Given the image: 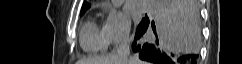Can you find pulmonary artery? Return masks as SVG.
Here are the masks:
<instances>
[{"instance_id":"e3ab8cb5","label":"pulmonary artery","mask_w":242,"mask_h":64,"mask_svg":"<svg viewBox=\"0 0 242 64\" xmlns=\"http://www.w3.org/2000/svg\"><path fill=\"white\" fill-rule=\"evenodd\" d=\"M137 5H138V8L143 12H147L150 10L149 3L145 0L139 1Z\"/></svg>"}]
</instances>
